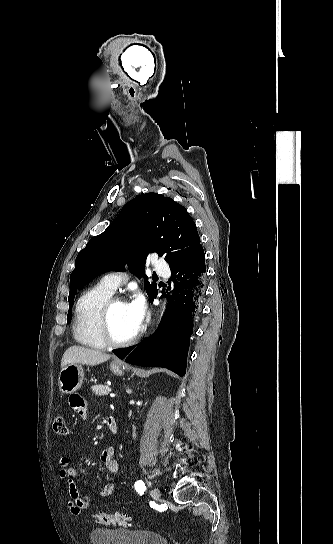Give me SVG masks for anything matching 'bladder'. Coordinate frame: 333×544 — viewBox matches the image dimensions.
<instances>
[{"mask_svg": "<svg viewBox=\"0 0 333 544\" xmlns=\"http://www.w3.org/2000/svg\"><path fill=\"white\" fill-rule=\"evenodd\" d=\"M89 538L92 544H168L162 535L149 530L96 528Z\"/></svg>", "mask_w": 333, "mask_h": 544, "instance_id": "obj_1", "label": "bladder"}]
</instances>
